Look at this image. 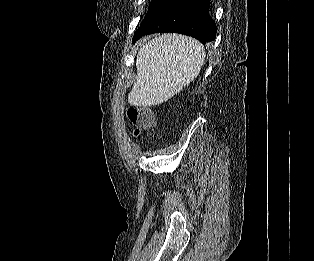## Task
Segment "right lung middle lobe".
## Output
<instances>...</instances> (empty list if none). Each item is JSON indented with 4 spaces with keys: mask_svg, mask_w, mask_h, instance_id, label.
Here are the masks:
<instances>
[{
    "mask_svg": "<svg viewBox=\"0 0 314 261\" xmlns=\"http://www.w3.org/2000/svg\"><path fill=\"white\" fill-rule=\"evenodd\" d=\"M174 0H152L148 12L142 21L141 24L146 23L153 17H155L157 14H159L163 9H165L167 6H169Z\"/></svg>",
    "mask_w": 314,
    "mask_h": 261,
    "instance_id": "1",
    "label": "right lung middle lobe"
}]
</instances>
